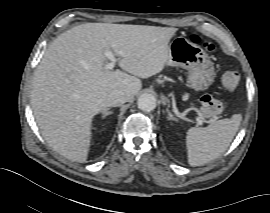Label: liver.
Segmentation results:
<instances>
[{
    "label": "liver",
    "mask_w": 270,
    "mask_h": 213,
    "mask_svg": "<svg viewBox=\"0 0 270 213\" xmlns=\"http://www.w3.org/2000/svg\"><path fill=\"white\" fill-rule=\"evenodd\" d=\"M176 28L86 23L59 35L35 72L31 104L45 141L71 161L85 162L95 115L104 113L113 90L131 100L139 78L160 73ZM119 56L125 70L105 69V51Z\"/></svg>",
    "instance_id": "liver-1"
}]
</instances>
